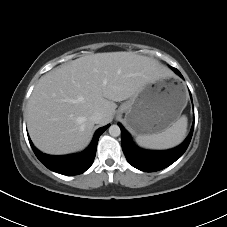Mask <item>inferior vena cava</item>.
Here are the masks:
<instances>
[{
  "label": "inferior vena cava",
  "mask_w": 227,
  "mask_h": 227,
  "mask_svg": "<svg viewBox=\"0 0 227 227\" xmlns=\"http://www.w3.org/2000/svg\"><path fill=\"white\" fill-rule=\"evenodd\" d=\"M102 116H103V115H102L101 112L96 111V112H94V113L91 115L90 120H91L93 123L98 124V123L101 121Z\"/></svg>",
  "instance_id": "obj_1"
}]
</instances>
